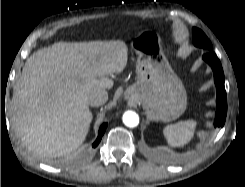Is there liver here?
Segmentation results:
<instances>
[{
    "label": "liver",
    "mask_w": 245,
    "mask_h": 187,
    "mask_svg": "<svg viewBox=\"0 0 245 187\" xmlns=\"http://www.w3.org/2000/svg\"><path fill=\"white\" fill-rule=\"evenodd\" d=\"M120 40L57 42L34 52L17 78L11 121L21 142L41 157H61L84 142L93 118L88 97L111 89L107 75L126 67Z\"/></svg>",
    "instance_id": "liver-1"
}]
</instances>
